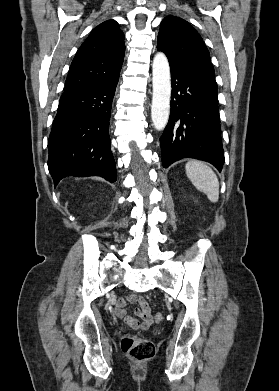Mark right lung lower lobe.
Segmentation results:
<instances>
[{"mask_svg": "<svg viewBox=\"0 0 279 391\" xmlns=\"http://www.w3.org/2000/svg\"><path fill=\"white\" fill-rule=\"evenodd\" d=\"M118 80L119 75L61 96L48 141V169L54 186L67 176L116 181L109 120Z\"/></svg>", "mask_w": 279, "mask_h": 391, "instance_id": "98d812e1", "label": "right lung lower lobe"}]
</instances>
